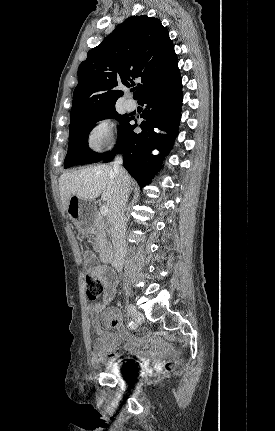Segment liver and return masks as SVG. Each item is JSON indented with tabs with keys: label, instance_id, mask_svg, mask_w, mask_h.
Listing matches in <instances>:
<instances>
[{
	"label": "liver",
	"instance_id": "6515ba94",
	"mask_svg": "<svg viewBox=\"0 0 275 431\" xmlns=\"http://www.w3.org/2000/svg\"><path fill=\"white\" fill-rule=\"evenodd\" d=\"M116 187L115 173L109 165H97L64 173L59 179V192L64 210H67L71 196L94 200L100 194L102 200L110 207Z\"/></svg>",
	"mask_w": 275,
	"mask_h": 431
}]
</instances>
